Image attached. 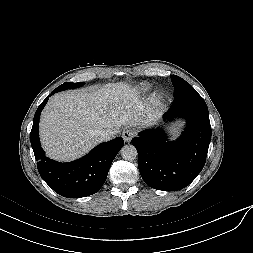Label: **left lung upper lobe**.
Returning <instances> with one entry per match:
<instances>
[{"instance_id":"obj_1","label":"left lung upper lobe","mask_w":253,"mask_h":253,"mask_svg":"<svg viewBox=\"0 0 253 253\" xmlns=\"http://www.w3.org/2000/svg\"><path fill=\"white\" fill-rule=\"evenodd\" d=\"M172 83L174 86V98L175 101L180 100L184 97L190 96L197 93L194 88L186 82L184 79L177 75H171Z\"/></svg>"}]
</instances>
